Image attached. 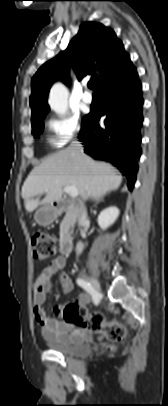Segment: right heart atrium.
I'll return each mask as SVG.
<instances>
[{"instance_id": "obj_1", "label": "right heart atrium", "mask_w": 168, "mask_h": 406, "mask_svg": "<svg viewBox=\"0 0 168 406\" xmlns=\"http://www.w3.org/2000/svg\"><path fill=\"white\" fill-rule=\"evenodd\" d=\"M51 133V143L62 147L75 138L81 131L80 118L76 113H63L51 116L46 122Z\"/></svg>"}]
</instances>
